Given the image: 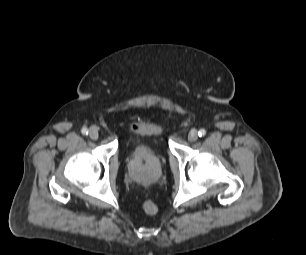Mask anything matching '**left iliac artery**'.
<instances>
[{
	"instance_id": "44dca946",
	"label": "left iliac artery",
	"mask_w": 306,
	"mask_h": 255,
	"mask_svg": "<svg viewBox=\"0 0 306 255\" xmlns=\"http://www.w3.org/2000/svg\"><path fill=\"white\" fill-rule=\"evenodd\" d=\"M206 135V130L205 129H200L199 131H198V136L199 137H203V136H205Z\"/></svg>"
}]
</instances>
